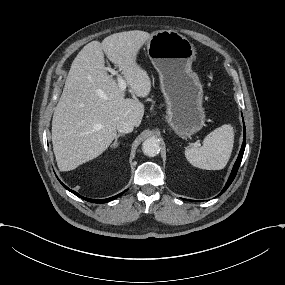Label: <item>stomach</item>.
<instances>
[{"label": "stomach", "instance_id": "0dacf381", "mask_svg": "<svg viewBox=\"0 0 285 285\" xmlns=\"http://www.w3.org/2000/svg\"><path fill=\"white\" fill-rule=\"evenodd\" d=\"M146 52L159 74L165 122L179 138L186 139L205 124L203 85L192 70L196 50L184 36L162 30L151 35Z\"/></svg>", "mask_w": 285, "mask_h": 285}]
</instances>
